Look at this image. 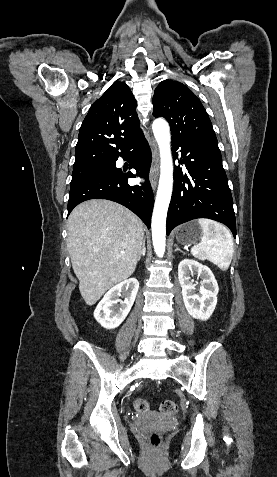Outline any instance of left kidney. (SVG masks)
Listing matches in <instances>:
<instances>
[{
  "label": "left kidney",
  "mask_w": 277,
  "mask_h": 477,
  "mask_svg": "<svg viewBox=\"0 0 277 477\" xmlns=\"http://www.w3.org/2000/svg\"><path fill=\"white\" fill-rule=\"evenodd\" d=\"M193 275L202 279L198 293L194 291ZM178 279L187 312L195 319L208 320L215 310L219 291L212 271L195 260L184 259L178 265Z\"/></svg>",
  "instance_id": "1"
}]
</instances>
